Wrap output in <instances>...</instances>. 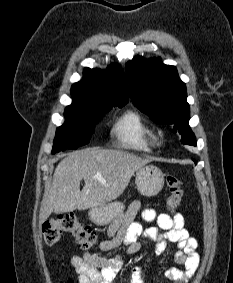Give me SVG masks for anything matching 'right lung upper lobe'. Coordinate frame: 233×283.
<instances>
[{
    "label": "right lung upper lobe",
    "mask_w": 233,
    "mask_h": 283,
    "mask_svg": "<svg viewBox=\"0 0 233 283\" xmlns=\"http://www.w3.org/2000/svg\"><path fill=\"white\" fill-rule=\"evenodd\" d=\"M73 102L89 106L126 104L129 92L124 72L117 64L106 70L84 69V79L71 87Z\"/></svg>",
    "instance_id": "right-lung-upper-lobe-1"
}]
</instances>
